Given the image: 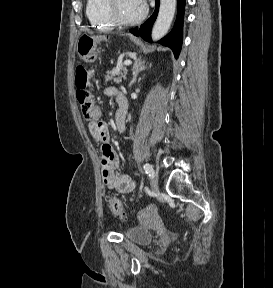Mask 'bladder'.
<instances>
[{
    "label": "bladder",
    "mask_w": 273,
    "mask_h": 288,
    "mask_svg": "<svg viewBox=\"0 0 273 288\" xmlns=\"http://www.w3.org/2000/svg\"><path fill=\"white\" fill-rule=\"evenodd\" d=\"M124 236L127 240L140 245L149 244L153 241V233L139 226L128 229Z\"/></svg>",
    "instance_id": "1"
}]
</instances>
